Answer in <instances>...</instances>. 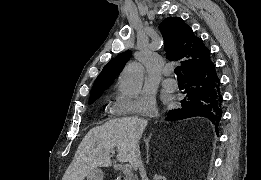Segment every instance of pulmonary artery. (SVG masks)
I'll use <instances>...</instances> for the list:
<instances>
[{
  "label": "pulmonary artery",
  "instance_id": "obj_1",
  "mask_svg": "<svg viewBox=\"0 0 261 180\" xmlns=\"http://www.w3.org/2000/svg\"><path fill=\"white\" fill-rule=\"evenodd\" d=\"M163 74L167 77L162 85L166 89L175 90L177 88V82L173 77V69H164Z\"/></svg>",
  "mask_w": 261,
  "mask_h": 180
}]
</instances>
